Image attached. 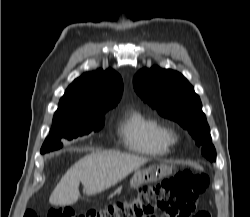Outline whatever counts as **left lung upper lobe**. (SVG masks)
I'll return each instance as SVG.
<instances>
[{"mask_svg": "<svg viewBox=\"0 0 250 217\" xmlns=\"http://www.w3.org/2000/svg\"><path fill=\"white\" fill-rule=\"evenodd\" d=\"M133 85L144 102L163 117L176 121L187 129L195 143L202 146L201 152L208 160H216V151L200 98L182 74L156 66L144 68L135 75Z\"/></svg>", "mask_w": 250, "mask_h": 217, "instance_id": "obj_1", "label": "left lung upper lobe"}]
</instances>
